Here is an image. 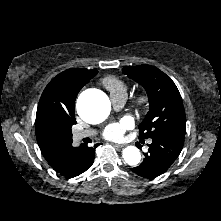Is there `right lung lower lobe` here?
I'll use <instances>...</instances> for the list:
<instances>
[{
  "mask_svg": "<svg viewBox=\"0 0 221 221\" xmlns=\"http://www.w3.org/2000/svg\"><path fill=\"white\" fill-rule=\"evenodd\" d=\"M82 144L74 147L72 144L58 149L55 155L47 159L52 168L59 174L73 178L85 172L92 164L95 156V148Z\"/></svg>",
  "mask_w": 221,
  "mask_h": 221,
  "instance_id": "98d812e1",
  "label": "right lung lower lobe"
}]
</instances>
